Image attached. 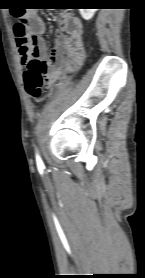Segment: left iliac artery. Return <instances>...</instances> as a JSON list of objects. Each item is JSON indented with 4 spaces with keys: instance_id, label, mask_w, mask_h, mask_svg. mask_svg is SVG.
Masks as SVG:
<instances>
[{
    "instance_id": "obj_1",
    "label": "left iliac artery",
    "mask_w": 145,
    "mask_h": 278,
    "mask_svg": "<svg viewBox=\"0 0 145 278\" xmlns=\"http://www.w3.org/2000/svg\"><path fill=\"white\" fill-rule=\"evenodd\" d=\"M36 161H37V163H40V162H41V158L39 157L38 154H36Z\"/></svg>"
}]
</instances>
